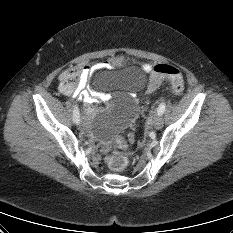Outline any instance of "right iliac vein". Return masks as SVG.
Listing matches in <instances>:
<instances>
[{
	"label": "right iliac vein",
	"mask_w": 233,
	"mask_h": 233,
	"mask_svg": "<svg viewBox=\"0 0 233 233\" xmlns=\"http://www.w3.org/2000/svg\"><path fill=\"white\" fill-rule=\"evenodd\" d=\"M75 128L78 130H83L84 129V124L81 122H76L75 123Z\"/></svg>",
	"instance_id": "obj_1"
}]
</instances>
